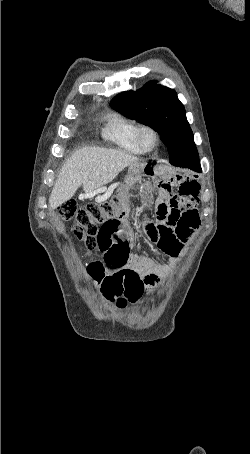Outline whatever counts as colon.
I'll return each instance as SVG.
<instances>
[{
    "mask_svg": "<svg viewBox=\"0 0 250 454\" xmlns=\"http://www.w3.org/2000/svg\"><path fill=\"white\" fill-rule=\"evenodd\" d=\"M57 212L63 220L76 218L74 234L88 251L97 247V235L104 224L125 215V211L119 208L116 196L110 201L90 203L83 207H78L73 201H66L58 207Z\"/></svg>",
    "mask_w": 250,
    "mask_h": 454,
    "instance_id": "1",
    "label": "colon"
}]
</instances>
